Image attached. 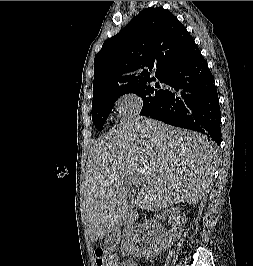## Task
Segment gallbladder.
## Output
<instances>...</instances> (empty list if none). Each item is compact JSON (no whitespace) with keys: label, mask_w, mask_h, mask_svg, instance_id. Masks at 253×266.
Segmentation results:
<instances>
[{"label":"gallbladder","mask_w":253,"mask_h":266,"mask_svg":"<svg viewBox=\"0 0 253 266\" xmlns=\"http://www.w3.org/2000/svg\"><path fill=\"white\" fill-rule=\"evenodd\" d=\"M126 188H127V190H129V183H127Z\"/></svg>","instance_id":"obj_1"}]
</instances>
